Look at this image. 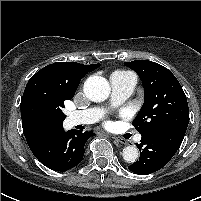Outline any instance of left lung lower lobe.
Listing matches in <instances>:
<instances>
[{
	"mask_svg": "<svg viewBox=\"0 0 201 201\" xmlns=\"http://www.w3.org/2000/svg\"><path fill=\"white\" fill-rule=\"evenodd\" d=\"M186 130L167 128L142 135L137 144L140 158L128 166V169L139 175L151 174L165 166L179 149Z\"/></svg>",
	"mask_w": 201,
	"mask_h": 201,
	"instance_id": "obj_1",
	"label": "left lung lower lobe"
}]
</instances>
